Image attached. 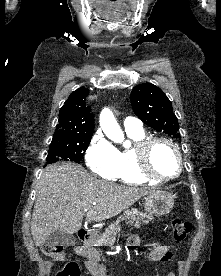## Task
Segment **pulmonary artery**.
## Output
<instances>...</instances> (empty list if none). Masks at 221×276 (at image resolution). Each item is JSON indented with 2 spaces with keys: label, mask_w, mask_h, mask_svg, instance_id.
Instances as JSON below:
<instances>
[{
  "label": "pulmonary artery",
  "mask_w": 221,
  "mask_h": 276,
  "mask_svg": "<svg viewBox=\"0 0 221 276\" xmlns=\"http://www.w3.org/2000/svg\"><path fill=\"white\" fill-rule=\"evenodd\" d=\"M124 128L126 131L142 130V122L135 117H127L124 120Z\"/></svg>",
  "instance_id": "obj_1"
}]
</instances>
